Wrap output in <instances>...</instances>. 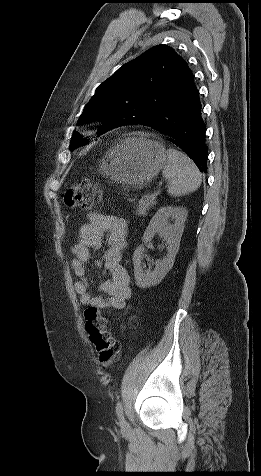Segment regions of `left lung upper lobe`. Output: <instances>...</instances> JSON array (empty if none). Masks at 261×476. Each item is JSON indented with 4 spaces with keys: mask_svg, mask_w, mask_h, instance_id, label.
Listing matches in <instances>:
<instances>
[{
    "mask_svg": "<svg viewBox=\"0 0 261 476\" xmlns=\"http://www.w3.org/2000/svg\"><path fill=\"white\" fill-rule=\"evenodd\" d=\"M194 82L186 61L172 48L157 45L124 64L96 89L78 123L102 120L97 135L159 115ZM87 144L74 132L70 149Z\"/></svg>",
    "mask_w": 261,
    "mask_h": 476,
    "instance_id": "1",
    "label": "left lung upper lobe"
}]
</instances>
